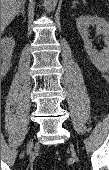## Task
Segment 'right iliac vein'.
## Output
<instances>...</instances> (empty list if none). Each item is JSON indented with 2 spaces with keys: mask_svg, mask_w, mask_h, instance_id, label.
<instances>
[{
  "mask_svg": "<svg viewBox=\"0 0 109 170\" xmlns=\"http://www.w3.org/2000/svg\"><path fill=\"white\" fill-rule=\"evenodd\" d=\"M33 146H34L33 139H30L27 144V154L31 153Z\"/></svg>",
  "mask_w": 109,
  "mask_h": 170,
  "instance_id": "63e3f726",
  "label": "right iliac vein"
}]
</instances>
